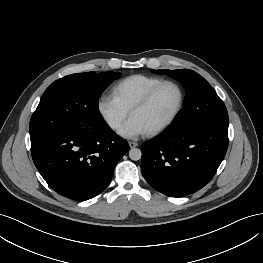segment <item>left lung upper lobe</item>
<instances>
[{
	"label": "left lung upper lobe",
	"instance_id": "obj_1",
	"mask_svg": "<svg viewBox=\"0 0 263 263\" xmlns=\"http://www.w3.org/2000/svg\"><path fill=\"white\" fill-rule=\"evenodd\" d=\"M152 72L167 74L178 79L186 88L184 109L178 113L170 127L191 132L208 124L229 121L223 101L211 85L195 71L180 69L153 70Z\"/></svg>",
	"mask_w": 263,
	"mask_h": 263
}]
</instances>
